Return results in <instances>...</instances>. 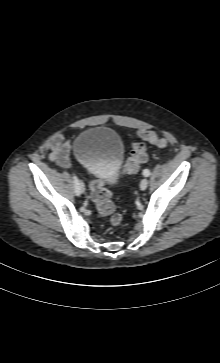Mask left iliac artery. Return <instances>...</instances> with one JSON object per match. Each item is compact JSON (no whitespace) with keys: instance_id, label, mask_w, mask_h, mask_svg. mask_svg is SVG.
<instances>
[{"instance_id":"obj_1","label":"left iliac artery","mask_w":220,"mask_h":363,"mask_svg":"<svg viewBox=\"0 0 220 363\" xmlns=\"http://www.w3.org/2000/svg\"><path fill=\"white\" fill-rule=\"evenodd\" d=\"M143 175H144L145 177H148V176L150 175V171H149L148 169H144V170H143Z\"/></svg>"}]
</instances>
